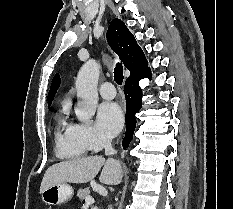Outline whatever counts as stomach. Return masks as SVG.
Listing matches in <instances>:
<instances>
[{"label":"stomach","mask_w":233,"mask_h":209,"mask_svg":"<svg viewBox=\"0 0 233 209\" xmlns=\"http://www.w3.org/2000/svg\"><path fill=\"white\" fill-rule=\"evenodd\" d=\"M73 188L67 183L53 185L41 194L42 201L48 205H61L72 199Z\"/></svg>","instance_id":"1"}]
</instances>
